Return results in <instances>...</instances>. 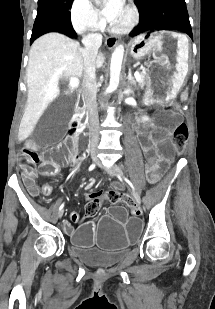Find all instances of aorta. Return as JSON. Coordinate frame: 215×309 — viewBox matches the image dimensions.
Here are the masks:
<instances>
[{
	"mask_svg": "<svg viewBox=\"0 0 215 309\" xmlns=\"http://www.w3.org/2000/svg\"><path fill=\"white\" fill-rule=\"evenodd\" d=\"M123 54L124 46L123 44H118L111 56L110 80L109 86L106 88V92H112V90H116L119 84Z\"/></svg>",
	"mask_w": 215,
	"mask_h": 309,
	"instance_id": "762f6f07",
	"label": "aorta"
}]
</instances>
